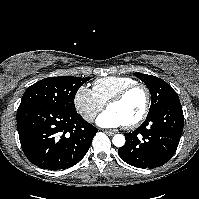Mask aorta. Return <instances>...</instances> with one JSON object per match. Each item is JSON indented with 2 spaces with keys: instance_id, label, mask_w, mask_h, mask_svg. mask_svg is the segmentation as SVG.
Returning a JSON list of instances; mask_svg holds the SVG:
<instances>
[{
  "instance_id": "762f6f07",
  "label": "aorta",
  "mask_w": 199,
  "mask_h": 199,
  "mask_svg": "<svg viewBox=\"0 0 199 199\" xmlns=\"http://www.w3.org/2000/svg\"><path fill=\"white\" fill-rule=\"evenodd\" d=\"M112 142L116 147H122L125 144V137L122 134H116L113 136Z\"/></svg>"
}]
</instances>
